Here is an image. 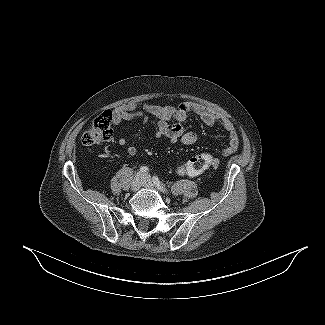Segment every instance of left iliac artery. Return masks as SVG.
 I'll list each match as a JSON object with an SVG mask.
<instances>
[{
  "mask_svg": "<svg viewBox=\"0 0 325 325\" xmlns=\"http://www.w3.org/2000/svg\"><path fill=\"white\" fill-rule=\"evenodd\" d=\"M152 181L158 187V189H160L163 192H168L157 176H153Z\"/></svg>",
  "mask_w": 325,
  "mask_h": 325,
  "instance_id": "obj_1",
  "label": "left iliac artery"
}]
</instances>
